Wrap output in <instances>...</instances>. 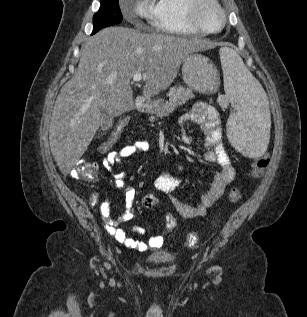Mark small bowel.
Here are the masks:
<instances>
[{"label": "small bowel", "mask_w": 307, "mask_h": 317, "mask_svg": "<svg viewBox=\"0 0 307 317\" xmlns=\"http://www.w3.org/2000/svg\"><path fill=\"white\" fill-rule=\"evenodd\" d=\"M186 122H191L201 126L206 136L205 159L209 162L217 163L220 170L216 172L208 190L201 196L200 203L191 206L181 201L175 192L180 186V180L168 171L162 172L153 182V188L156 191L165 193L176 209V211L185 219L202 217L207 210L223 195L225 188L234 181L236 171L232 165L228 154L222 143V125L219 113L215 107L205 103H196L192 110L184 114L179 120V127L182 128ZM181 138L189 143L191 139L181 131ZM153 145L147 141H135L129 143L119 150L107 154L102 159V166L110 172L115 178V186L125 191L126 210L118 217L110 214V201L105 199L100 205V215L107 232L118 242L139 251H146L149 248L157 249L163 244V236H155L147 242L137 241L129 237L126 231L119 227L122 222L133 218L132 204L135 197V190L127 183L131 177L126 172H114L123 159L135 156L139 153H148L152 151ZM96 201V197H93Z\"/></svg>", "instance_id": "1"}]
</instances>
